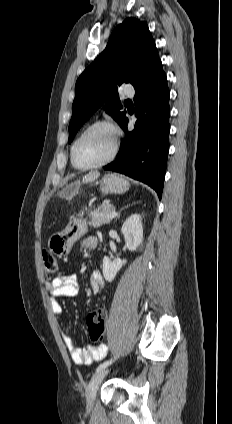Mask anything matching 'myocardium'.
<instances>
[{
	"label": "myocardium",
	"instance_id": "f54148a6",
	"mask_svg": "<svg viewBox=\"0 0 232 424\" xmlns=\"http://www.w3.org/2000/svg\"><path fill=\"white\" fill-rule=\"evenodd\" d=\"M96 128H106L109 131H111V133L113 134V147H112L110 153L104 159H102L101 161L94 163V164H91V165L81 166V165L77 164V162H76V158H75L76 147L85 135H87L90 131H92ZM119 145H120V135H119V131H118L117 127L113 123L108 122V121H96V122L92 123L91 125H89L86 129H84L81 132V134L77 137V139L74 141L72 148H71L72 164L75 168H77L79 170H90V169H95V168L104 166V165L108 164L109 162H111L116 157L118 150H119Z\"/></svg>",
	"mask_w": 232,
	"mask_h": 424
}]
</instances>
